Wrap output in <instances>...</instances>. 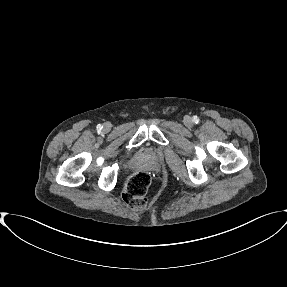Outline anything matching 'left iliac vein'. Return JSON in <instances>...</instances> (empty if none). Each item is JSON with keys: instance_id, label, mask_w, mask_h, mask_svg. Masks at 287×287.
Returning <instances> with one entry per match:
<instances>
[{"instance_id": "4c4485c4", "label": "left iliac vein", "mask_w": 287, "mask_h": 287, "mask_svg": "<svg viewBox=\"0 0 287 287\" xmlns=\"http://www.w3.org/2000/svg\"><path fill=\"white\" fill-rule=\"evenodd\" d=\"M185 124L188 125V126L192 125V120H191L190 117H186L185 118Z\"/></svg>"}]
</instances>
